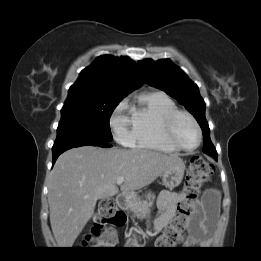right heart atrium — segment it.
I'll return each instance as SVG.
<instances>
[{"mask_svg":"<svg viewBox=\"0 0 261 261\" xmlns=\"http://www.w3.org/2000/svg\"><path fill=\"white\" fill-rule=\"evenodd\" d=\"M126 105L125 102H122L111 119V127L114 131V136L116 140L122 144H128L130 140L129 120L123 114Z\"/></svg>","mask_w":261,"mask_h":261,"instance_id":"right-heart-atrium-1","label":"right heart atrium"}]
</instances>
